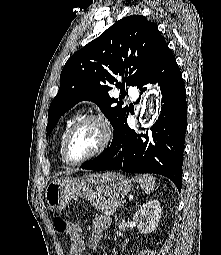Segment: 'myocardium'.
Wrapping results in <instances>:
<instances>
[{"instance_id": "myocardium-1", "label": "myocardium", "mask_w": 221, "mask_h": 255, "mask_svg": "<svg viewBox=\"0 0 221 255\" xmlns=\"http://www.w3.org/2000/svg\"><path fill=\"white\" fill-rule=\"evenodd\" d=\"M90 122H95L100 125L102 129V134H103L102 141L100 145L88 156L80 160H72L68 151L70 140L72 139L73 135L78 129H80L82 126ZM112 134H113V129H112L111 123L102 114H88L81 117L72 125V127L68 130L64 138L63 145H62V156L64 161L71 166H78L99 156L101 153L104 152V150L109 145L112 138Z\"/></svg>"}]
</instances>
